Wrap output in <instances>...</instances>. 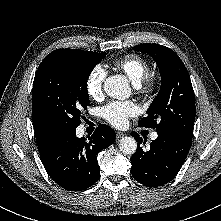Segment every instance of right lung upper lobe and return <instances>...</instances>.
Here are the masks:
<instances>
[{"label": "right lung upper lobe", "mask_w": 221, "mask_h": 221, "mask_svg": "<svg viewBox=\"0 0 221 221\" xmlns=\"http://www.w3.org/2000/svg\"><path fill=\"white\" fill-rule=\"evenodd\" d=\"M58 50H69V49H58ZM57 51V50H55ZM53 51V52H55ZM33 125L35 129V136H36V142L37 145H41L44 143L48 137H50L53 133L44 129L41 125H39L34 119H33Z\"/></svg>", "instance_id": "right-lung-upper-lobe-1"}]
</instances>
